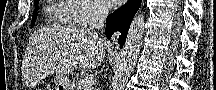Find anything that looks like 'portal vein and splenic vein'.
<instances>
[{
  "label": "portal vein and splenic vein",
  "instance_id": "18ae733b",
  "mask_svg": "<svg viewBox=\"0 0 216 90\" xmlns=\"http://www.w3.org/2000/svg\"><path fill=\"white\" fill-rule=\"evenodd\" d=\"M81 86H82V90H87V88H91V86H93V78H89V76H85Z\"/></svg>",
  "mask_w": 216,
  "mask_h": 90
}]
</instances>
